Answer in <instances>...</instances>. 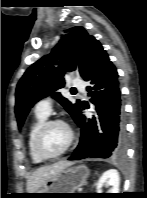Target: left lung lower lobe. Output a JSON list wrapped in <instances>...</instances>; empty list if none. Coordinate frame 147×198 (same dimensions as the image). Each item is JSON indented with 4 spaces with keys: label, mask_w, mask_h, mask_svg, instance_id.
Listing matches in <instances>:
<instances>
[{
    "label": "left lung lower lobe",
    "mask_w": 147,
    "mask_h": 198,
    "mask_svg": "<svg viewBox=\"0 0 147 198\" xmlns=\"http://www.w3.org/2000/svg\"><path fill=\"white\" fill-rule=\"evenodd\" d=\"M84 80L92 85L87 91L97 117L87 119L81 110L76 122L81 137L69 160L120 158L125 154L126 132L118 73L98 40L93 42Z\"/></svg>",
    "instance_id": "obj_1"
}]
</instances>
